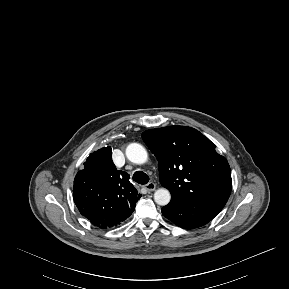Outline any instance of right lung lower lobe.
<instances>
[{"instance_id": "right-lung-lower-lobe-1", "label": "right lung lower lobe", "mask_w": 289, "mask_h": 289, "mask_svg": "<svg viewBox=\"0 0 289 289\" xmlns=\"http://www.w3.org/2000/svg\"><path fill=\"white\" fill-rule=\"evenodd\" d=\"M134 207H129V208H124L121 209L119 212H117L116 214L107 217L106 219H93V218H88V220L96 225L97 227L101 228V229H106L109 227H113L116 226L118 223H120L121 221H124L126 218H128L132 212L134 211Z\"/></svg>"}]
</instances>
